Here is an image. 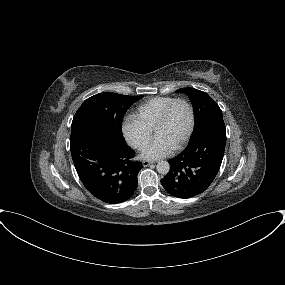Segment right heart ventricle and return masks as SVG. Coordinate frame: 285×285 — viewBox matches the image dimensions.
Here are the masks:
<instances>
[{"label": "right heart ventricle", "mask_w": 285, "mask_h": 285, "mask_svg": "<svg viewBox=\"0 0 285 285\" xmlns=\"http://www.w3.org/2000/svg\"><path fill=\"white\" fill-rule=\"evenodd\" d=\"M174 99L170 96H157L147 99L136 107L134 116L152 130L164 108Z\"/></svg>", "instance_id": "right-heart-ventricle-1"}]
</instances>
